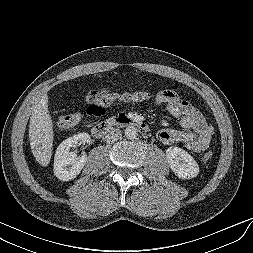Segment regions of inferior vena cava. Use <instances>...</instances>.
I'll return each instance as SVG.
<instances>
[{"instance_id": "1", "label": "inferior vena cava", "mask_w": 253, "mask_h": 253, "mask_svg": "<svg viewBox=\"0 0 253 253\" xmlns=\"http://www.w3.org/2000/svg\"><path fill=\"white\" fill-rule=\"evenodd\" d=\"M122 137V133L119 129L109 127L104 132V139L107 142L117 141Z\"/></svg>"}]
</instances>
